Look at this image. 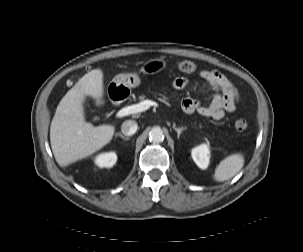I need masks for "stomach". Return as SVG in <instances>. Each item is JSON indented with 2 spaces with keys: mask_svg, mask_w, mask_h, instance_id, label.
<instances>
[{
  "mask_svg": "<svg viewBox=\"0 0 303 252\" xmlns=\"http://www.w3.org/2000/svg\"><path fill=\"white\" fill-rule=\"evenodd\" d=\"M166 67L167 62L163 58H155L144 62L141 66V71L144 74H155ZM140 82V77L136 73H124L116 75L111 84L115 85V87L131 89L137 87Z\"/></svg>",
  "mask_w": 303,
  "mask_h": 252,
  "instance_id": "stomach-1",
  "label": "stomach"
}]
</instances>
